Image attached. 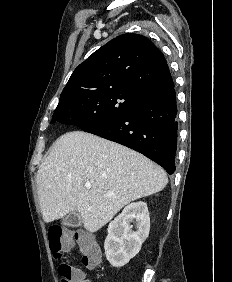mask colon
I'll use <instances>...</instances> for the list:
<instances>
[{
    "instance_id": "colon-1",
    "label": "colon",
    "mask_w": 232,
    "mask_h": 282,
    "mask_svg": "<svg viewBox=\"0 0 232 282\" xmlns=\"http://www.w3.org/2000/svg\"><path fill=\"white\" fill-rule=\"evenodd\" d=\"M64 234L61 227H52L48 233L49 247L55 258H61L65 249L77 243L82 254V262L87 268H94L100 261V251L87 234ZM61 282H80L78 268L67 263L58 266Z\"/></svg>"
}]
</instances>
